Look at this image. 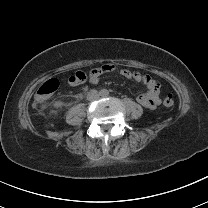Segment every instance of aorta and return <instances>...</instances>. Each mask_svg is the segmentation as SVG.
I'll return each mask as SVG.
<instances>
[{
	"label": "aorta",
	"mask_w": 208,
	"mask_h": 208,
	"mask_svg": "<svg viewBox=\"0 0 208 208\" xmlns=\"http://www.w3.org/2000/svg\"><path fill=\"white\" fill-rule=\"evenodd\" d=\"M100 96H101L102 99L107 100V99L110 98L111 93L108 89H103L100 93Z\"/></svg>",
	"instance_id": "762f6f07"
}]
</instances>
